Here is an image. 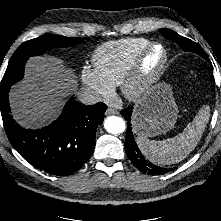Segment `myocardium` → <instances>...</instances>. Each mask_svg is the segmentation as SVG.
Segmentation results:
<instances>
[{
    "label": "myocardium",
    "instance_id": "1",
    "mask_svg": "<svg viewBox=\"0 0 221 221\" xmlns=\"http://www.w3.org/2000/svg\"><path fill=\"white\" fill-rule=\"evenodd\" d=\"M160 48L162 57L157 67L149 74L144 72V62L148 55L155 49ZM168 61V50L160 42H150L134 58L128 71L120 83L123 96L129 101L141 100L150 89L160 80Z\"/></svg>",
    "mask_w": 221,
    "mask_h": 221
}]
</instances>
